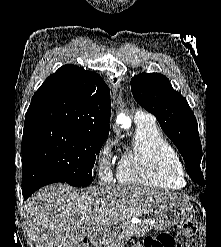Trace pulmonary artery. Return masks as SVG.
<instances>
[{
  "instance_id": "pulmonary-artery-1",
  "label": "pulmonary artery",
  "mask_w": 221,
  "mask_h": 247,
  "mask_svg": "<svg viewBox=\"0 0 221 247\" xmlns=\"http://www.w3.org/2000/svg\"><path fill=\"white\" fill-rule=\"evenodd\" d=\"M144 118H150L146 113H144L142 110H137L135 113V122L139 121Z\"/></svg>"
}]
</instances>
